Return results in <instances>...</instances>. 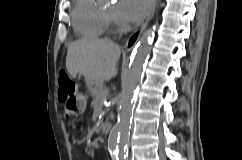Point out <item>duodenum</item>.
<instances>
[{
    "mask_svg": "<svg viewBox=\"0 0 242 160\" xmlns=\"http://www.w3.org/2000/svg\"><path fill=\"white\" fill-rule=\"evenodd\" d=\"M111 128H112V125H111L110 122L104 123L103 126H102V133L108 134L110 132Z\"/></svg>",
    "mask_w": 242,
    "mask_h": 160,
    "instance_id": "1",
    "label": "duodenum"
}]
</instances>
